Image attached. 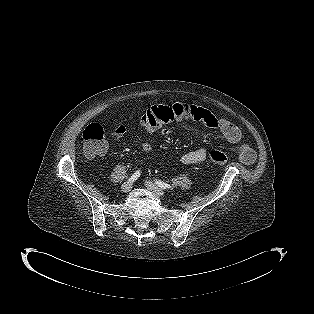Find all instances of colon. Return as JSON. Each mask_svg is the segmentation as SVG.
<instances>
[{
    "label": "colon",
    "instance_id": "5ec220e1",
    "mask_svg": "<svg viewBox=\"0 0 314 314\" xmlns=\"http://www.w3.org/2000/svg\"><path fill=\"white\" fill-rule=\"evenodd\" d=\"M120 127L121 126L116 129V132H118ZM106 134L107 131L105 127L98 123H92L84 129L82 133L83 149L84 153L88 157H96L105 154V152L107 151ZM209 159L211 160V162L219 165L225 164L228 161L227 155L219 150L210 151Z\"/></svg>",
    "mask_w": 314,
    "mask_h": 314
}]
</instances>
